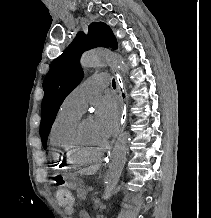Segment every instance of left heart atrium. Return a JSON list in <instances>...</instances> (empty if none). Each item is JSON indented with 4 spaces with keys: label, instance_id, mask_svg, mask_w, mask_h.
Masks as SVG:
<instances>
[{
    "label": "left heart atrium",
    "instance_id": "1",
    "mask_svg": "<svg viewBox=\"0 0 211 218\" xmlns=\"http://www.w3.org/2000/svg\"><path fill=\"white\" fill-rule=\"evenodd\" d=\"M95 127L106 139L118 129L120 111L116 99L111 94L98 97L94 102Z\"/></svg>",
    "mask_w": 211,
    "mask_h": 218
}]
</instances>
